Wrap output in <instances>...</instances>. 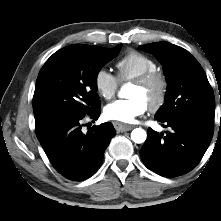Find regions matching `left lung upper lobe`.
<instances>
[{"mask_svg":"<svg viewBox=\"0 0 221 221\" xmlns=\"http://www.w3.org/2000/svg\"><path fill=\"white\" fill-rule=\"evenodd\" d=\"M140 49L158 58L168 82L165 102L155 118L166 121L189 116L213 126L214 94L197 60L185 49L168 42L150 43Z\"/></svg>","mask_w":221,"mask_h":221,"instance_id":"obj_1","label":"left lung upper lobe"}]
</instances>
